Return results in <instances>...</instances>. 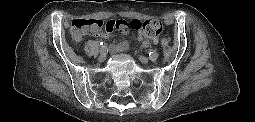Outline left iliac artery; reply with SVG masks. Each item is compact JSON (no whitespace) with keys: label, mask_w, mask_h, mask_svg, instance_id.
Instances as JSON below:
<instances>
[{"label":"left iliac artery","mask_w":255,"mask_h":122,"mask_svg":"<svg viewBox=\"0 0 255 122\" xmlns=\"http://www.w3.org/2000/svg\"><path fill=\"white\" fill-rule=\"evenodd\" d=\"M148 55L152 61H155L158 58V54L155 51H150Z\"/></svg>","instance_id":"44dca946"}]
</instances>
